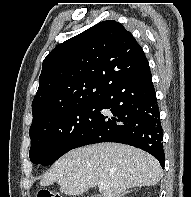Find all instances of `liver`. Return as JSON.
<instances>
[{"label": "liver", "instance_id": "6515ba94", "mask_svg": "<svg viewBox=\"0 0 191 197\" xmlns=\"http://www.w3.org/2000/svg\"><path fill=\"white\" fill-rule=\"evenodd\" d=\"M162 177L158 160L133 146L99 143L73 149L57 160L42 176L41 186L60 185V192L81 195L103 182L95 197H118L129 188L154 186Z\"/></svg>", "mask_w": 191, "mask_h": 197}]
</instances>
